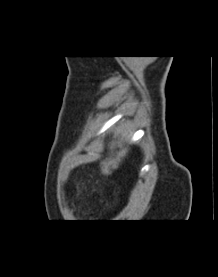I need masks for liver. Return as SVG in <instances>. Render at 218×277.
I'll return each instance as SVG.
<instances>
[{"instance_id": "1", "label": "liver", "mask_w": 218, "mask_h": 277, "mask_svg": "<svg viewBox=\"0 0 218 277\" xmlns=\"http://www.w3.org/2000/svg\"><path fill=\"white\" fill-rule=\"evenodd\" d=\"M116 148H120V149H119V151L116 152V154L114 156H110L109 158H106L104 161H102L100 163L101 173L103 175H110L112 173V170L117 169L120 162L122 161V159L126 156V154L128 152L127 148H122L121 140L113 141L110 144L111 151H113Z\"/></svg>"}]
</instances>
